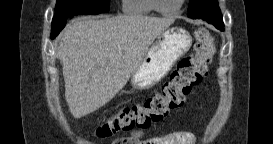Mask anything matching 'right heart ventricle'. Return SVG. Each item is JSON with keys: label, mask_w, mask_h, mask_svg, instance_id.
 <instances>
[{"label": "right heart ventricle", "mask_w": 273, "mask_h": 144, "mask_svg": "<svg viewBox=\"0 0 273 144\" xmlns=\"http://www.w3.org/2000/svg\"><path fill=\"white\" fill-rule=\"evenodd\" d=\"M123 11L131 16H147L153 9L150 0H126L123 4Z\"/></svg>", "instance_id": "1"}]
</instances>
